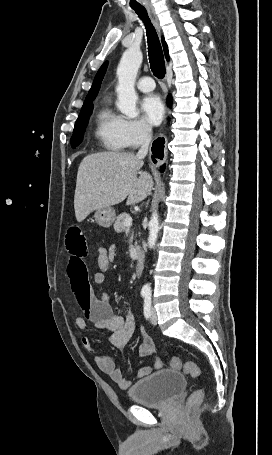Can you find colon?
<instances>
[{
  "label": "colon",
  "instance_id": "colon-1",
  "mask_svg": "<svg viewBox=\"0 0 272 455\" xmlns=\"http://www.w3.org/2000/svg\"><path fill=\"white\" fill-rule=\"evenodd\" d=\"M110 257L107 248L101 246L98 253L97 259V272L95 273V281L97 283H103L106 280L107 272L110 267ZM171 367L173 369L181 370L184 373L190 375L193 378H199L202 376L201 368L191 361H182L178 357L171 358ZM203 398V390L198 389L194 391L187 402V411L191 413L201 402Z\"/></svg>",
  "mask_w": 272,
  "mask_h": 455
}]
</instances>
